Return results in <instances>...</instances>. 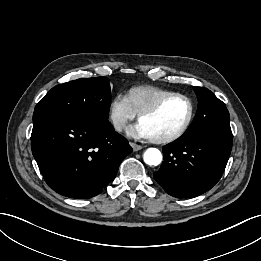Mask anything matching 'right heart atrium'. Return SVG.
I'll use <instances>...</instances> for the list:
<instances>
[{
    "instance_id": "1",
    "label": "right heart atrium",
    "mask_w": 261,
    "mask_h": 261,
    "mask_svg": "<svg viewBox=\"0 0 261 261\" xmlns=\"http://www.w3.org/2000/svg\"><path fill=\"white\" fill-rule=\"evenodd\" d=\"M136 113L126 96L116 95L110 102L109 120L116 131H122L132 121Z\"/></svg>"
}]
</instances>
